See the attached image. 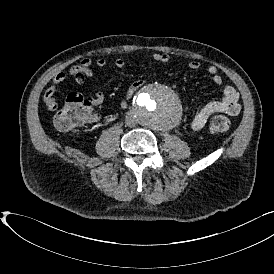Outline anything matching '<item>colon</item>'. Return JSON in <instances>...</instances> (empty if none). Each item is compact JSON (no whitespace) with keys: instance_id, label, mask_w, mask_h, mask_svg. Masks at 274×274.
<instances>
[{"instance_id":"1","label":"colon","mask_w":274,"mask_h":274,"mask_svg":"<svg viewBox=\"0 0 274 274\" xmlns=\"http://www.w3.org/2000/svg\"><path fill=\"white\" fill-rule=\"evenodd\" d=\"M94 119V111L84 97L71 93L66 105L55 116L54 126L62 131L71 130L74 124H87ZM230 120L224 115H214L209 122V131L214 135H223L229 131Z\"/></svg>"}]
</instances>
